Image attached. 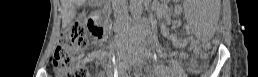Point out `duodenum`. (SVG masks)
<instances>
[{
  "instance_id": "obj_1",
  "label": "duodenum",
  "mask_w": 258,
  "mask_h": 77,
  "mask_svg": "<svg viewBox=\"0 0 258 77\" xmlns=\"http://www.w3.org/2000/svg\"><path fill=\"white\" fill-rule=\"evenodd\" d=\"M89 28H90L92 35L96 36L98 34V26L95 22H92L90 24Z\"/></svg>"
}]
</instances>
